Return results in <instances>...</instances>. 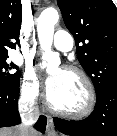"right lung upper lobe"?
<instances>
[{"instance_id": "obj_1", "label": "right lung upper lobe", "mask_w": 117, "mask_h": 136, "mask_svg": "<svg viewBox=\"0 0 117 136\" xmlns=\"http://www.w3.org/2000/svg\"><path fill=\"white\" fill-rule=\"evenodd\" d=\"M22 22L21 0H0V57L8 56V49H16ZM11 40H16L13 43Z\"/></svg>"}]
</instances>
